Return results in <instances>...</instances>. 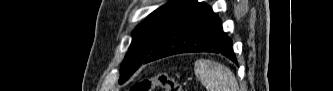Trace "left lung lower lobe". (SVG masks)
Segmentation results:
<instances>
[{
  "instance_id": "obj_1",
  "label": "left lung lower lobe",
  "mask_w": 333,
  "mask_h": 91,
  "mask_svg": "<svg viewBox=\"0 0 333 91\" xmlns=\"http://www.w3.org/2000/svg\"><path fill=\"white\" fill-rule=\"evenodd\" d=\"M188 52L220 53L237 63L231 39L212 9L196 2L163 36L144 63Z\"/></svg>"
}]
</instances>
